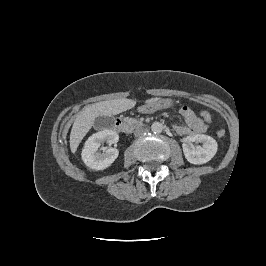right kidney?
<instances>
[{
	"label": "right kidney",
	"instance_id": "ca27d5eb",
	"mask_svg": "<svg viewBox=\"0 0 266 266\" xmlns=\"http://www.w3.org/2000/svg\"><path fill=\"white\" fill-rule=\"evenodd\" d=\"M114 144L119 141V135L112 130L99 131L88 138L82 150V160L86 166L94 170H104L118 157L116 148H106L103 153L98 152L101 142Z\"/></svg>",
	"mask_w": 266,
	"mask_h": 266
}]
</instances>
